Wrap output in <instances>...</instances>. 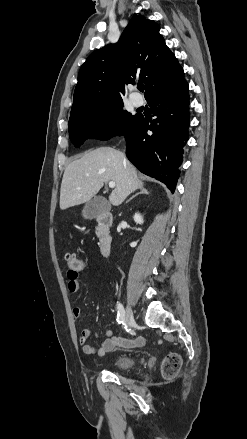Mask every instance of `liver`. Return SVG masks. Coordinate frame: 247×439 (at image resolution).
I'll use <instances>...</instances> for the list:
<instances>
[{"label": "liver", "mask_w": 247, "mask_h": 439, "mask_svg": "<svg viewBox=\"0 0 247 439\" xmlns=\"http://www.w3.org/2000/svg\"><path fill=\"white\" fill-rule=\"evenodd\" d=\"M115 182L109 196L113 206L120 205L132 192L143 186L135 167L125 155L111 147H99L69 163L60 189V209L90 201L105 183Z\"/></svg>", "instance_id": "1"}]
</instances>
